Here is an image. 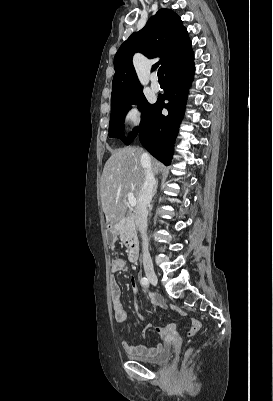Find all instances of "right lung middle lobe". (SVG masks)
I'll return each mask as SVG.
<instances>
[{
  "label": "right lung middle lobe",
  "mask_w": 273,
  "mask_h": 401,
  "mask_svg": "<svg viewBox=\"0 0 273 401\" xmlns=\"http://www.w3.org/2000/svg\"><path fill=\"white\" fill-rule=\"evenodd\" d=\"M131 104L139 105L140 109L142 110V120L140 123L139 128H135L133 132L129 134V137L124 139L122 135V125L125 120V116L128 112L129 106ZM153 108V104H148L147 100L143 93L132 96L122 103L115 107H111L112 113L110 118V125H109V137H121L126 144H130L134 138L137 136L139 131L144 128L150 121L151 118V111Z\"/></svg>",
  "instance_id": "1"
}]
</instances>
